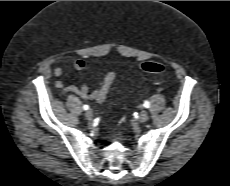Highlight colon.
Wrapping results in <instances>:
<instances>
[{"label":"colon","instance_id":"obj_1","mask_svg":"<svg viewBox=\"0 0 230 186\" xmlns=\"http://www.w3.org/2000/svg\"><path fill=\"white\" fill-rule=\"evenodd\" d=\"M142 71L153 73V74H162L166 71V68L163 64L156 62H144L140 65ZM114 79V74L111 73L108 75L109 82H112Z\"/></svg>","mask_w":230,"mask_h":186}]
</instances>
